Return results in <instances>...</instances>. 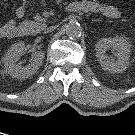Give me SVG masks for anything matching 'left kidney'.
Segmentation results:
<instances>
[{
  "instance_id": "obj_1",
  "label": "left kidney",
  "mask_w": 135,
  "mask_h": 135,
  "mask_svg": "<svg viewBox=\"0 0 135 135\" xmlns=\"http://www.w3.org/2000/svg\"><path fill=\"white\" fill-rule=\"evenodd\" d=\"M110 48L116 51V61H113L105 54ZM130 49L131 44L124 37L102 38L95 46L96 57L99 63L105 71L111 73H121L126 70L129 65Z\"/></svg>"
}]
</instances>
